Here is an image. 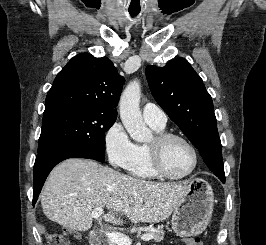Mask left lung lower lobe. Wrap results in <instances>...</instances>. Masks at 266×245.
<instances>
[{
  "label": "left lung lower lobe",
  "mask_w": 266,
  "mask_h": 245,
  "mask_svg": "<svg viewBox=\"0 0 266 245\" xmlns=\"http://www.w3.org/2000/svg\"><path fill=\"white\" fill-rule=\"evenodd\" d=\"M221 181H222V183H225V177L224 178H219Z\"/></svg>",
  "instance_id": "0a47b994"
}]
</instances>
